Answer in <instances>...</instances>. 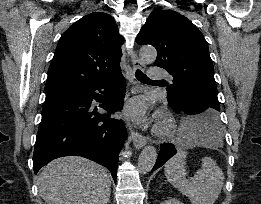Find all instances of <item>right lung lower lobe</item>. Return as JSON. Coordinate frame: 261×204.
<instances>
[{
    "label": "right lung lower lobe",
    "instance_id": "obj_1",
    "mask_svg": "<svg viewBox=\"0 0 261 204\" xmlns=\"http://www.w3.org/2000/svg\"><path fill=\"white\" fill-rule=\"evenodd\" d=\"M124 93L125 79L118 71L97 82L46 95L33 155L35 173L55 158L76 155L105 166L116 181L126 131L121 121L93 109L92 101L102 103L100 107L110 114L122 109Z\"/></svg>",
    "mask_w": 261,
    "mask_h": 204
}]
</instances>
